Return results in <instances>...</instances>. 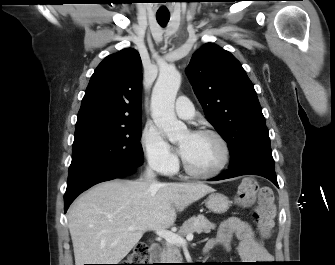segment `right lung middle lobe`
<instances>
[{
    "instance_id": "right-lung-middle-lobe-1",
    "label": "right lung middle lobe",
    "mask_w": 335,
    "mask_h": 265,
    "mask_svg": "<svg viewBox=\"0 0 335 265\" xmlns=\"http://www.w3.org/2000/svg\"><path fill=\"white\" fill-rule=\"evenodd\" d=\"M141 128L142 120L76 129L68 176L94 166H140L143 162Z\"/></svg>"
}]
</instances>
